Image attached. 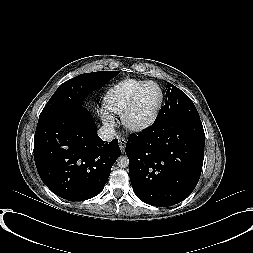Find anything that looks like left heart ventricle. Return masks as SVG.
Masks as SVG:
<instances>
[{"instance_id":"b2bd125f","label":"left heart ventricle","mask_w":253,"mask_h":253,"mask_svg":"<svg viewBox=\"0 0 253 253\" xmlns=\"http://www.w3.org/2000/svg\"><path fill=\"white\" fill-rule=\"evenodd\" d=\"M160 102V91L154 85L146 86L141 92L131 115L133 123L141 124L150 119Z\"/></svg>"}]
</instances>
